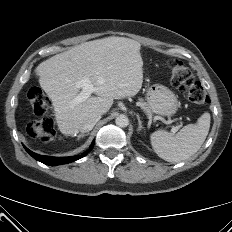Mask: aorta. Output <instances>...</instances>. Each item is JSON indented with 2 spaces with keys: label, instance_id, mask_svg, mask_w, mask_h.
Here are the masks:
<instances>
[{
  "label": "aorta",
  "instance_id": "1",
  "mask_svg": "<svg viewBox=\"0 0 232 232\" xmlns=\"http://www.w3.org/2000/svg\"><path fill=\"white\" fill-rule=\"evenodd\" d=\"M115 123L119 127H127L129 124V120L126 115L121 114L118 117H116Z\"/></svg>",
  "mask_w": 232,
  "mask_h": 232
}]
</instances>
